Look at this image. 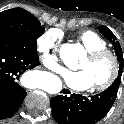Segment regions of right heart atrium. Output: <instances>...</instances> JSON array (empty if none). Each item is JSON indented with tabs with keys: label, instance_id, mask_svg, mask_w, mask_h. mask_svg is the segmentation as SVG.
<instances>
[{
	"label": "right heart atrium",
	"instance_id": "right-heart-atrium-1",
	"mask_svg": "<svg viewBox=\"0 0 124 124\" xmlns=\"http://www.w3.org/2000/svg\"><path fill=\"white\" fill-rule=\"evenodd\" d=\"M42 63L51 70L59 69V34L55 30L43 32L36 41Z\"/></svg>",
	"mask_w": 124,
	"mask_h": 124
}]
</instances>
